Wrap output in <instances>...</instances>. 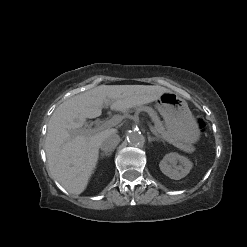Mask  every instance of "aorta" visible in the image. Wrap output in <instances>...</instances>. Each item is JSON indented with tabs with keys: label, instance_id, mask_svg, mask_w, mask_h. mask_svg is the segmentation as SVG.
I'll return each instance as SVG.
<instances>
[{
	"label": "aorta",
	"instance_id": "obj_1",
	"mask_svg": "<svg viewBox=\"0 0 247 247\" xmlns=\"http://www.w3.org/2000/svg\"><path fill=\"white\" fill-rule=\"evenodd\" d=\"M127 141L130 146L137 147L142 146L145 142L144 136L139 131H131L127 135Z\"/></svg>",
	"mask_w": 247,
	"mask_h": 247
}]
</instances>
